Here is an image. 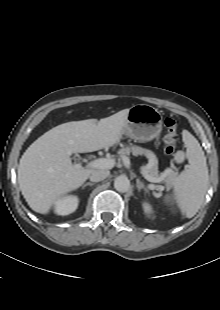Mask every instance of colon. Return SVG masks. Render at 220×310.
I'll return each instance as SVG.
<instances>
[{
	"mask_svg": "<svg viewBox=\"0 0 220 310\" xmlns=\"http://www.w3.org/2000/svg\"><path fill=\"white\" fill-rule=\"evenodd\" d=\"M166 133L164 135V151L166 154L175 155L177 161L184 159V154L176 151L178 136V121L172 117H168L164 121Z\"/></svg>",
	"mask_w": 220,
	"mask_h": 310,
	"instance_id": "obj_1",
	"label": "colon"
}]
</instances>
